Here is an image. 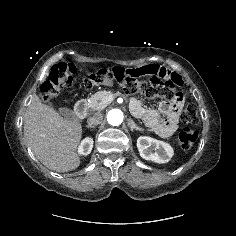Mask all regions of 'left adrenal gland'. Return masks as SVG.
Returning a JSON list of instances; mask_svg holds the SVG:
<instances>
[{
    "mask_svg": "<svg viewBox=\"0 0 236 236\" xmlns=\"http://www.w3.org/2000/svg\"><path fill=\"white\" fill-rule=\"evenodd\" d=\"M128 121H129L128 124L130 125L131 131H133V129L141 130L132 119H129Z\"/></svg>",
    "mask_w": 236,
    "mask_h": 236,
    "instance_id": "left-adrenal-gland-1",
    "label": "left adrenal gland"
}]
</instances>
